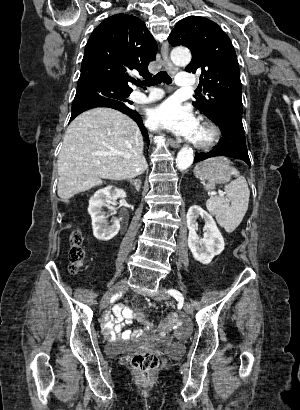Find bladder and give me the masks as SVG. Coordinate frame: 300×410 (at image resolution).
<instances>
[{"mask_svg":"<svg viewBox=\"0 0 300 410\" xmlns=\"http://www.w3.org/2000/svg\"><path fill=\"white\" fill-rule=\"evenodd\" d=\"M131 342H135V341H131ZM180 346H181L180 344L174 343V344H170L166 346L165 349L168 350L172 354H176ZM127 347H128V343L126 342L112 341V342H108L105 348L110 354L118 355L121 352H123Z\"/></svg>","mask_w":300,"mask_h":410,"instance_id":"1","label":"bladder"}]
</instances>
